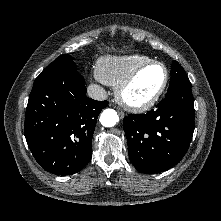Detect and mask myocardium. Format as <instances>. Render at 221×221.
Listing matches in <instances>:
<instances>
[{
    "label": "myocardium",
    "mask_w": 221,
    "mask_h": 221,
    "mask_svg": "<svg viewBox=\"0 0 221 221\" xmlns=\"http://www.w3.org/2000/svg\"><path fill=\"white\" fill-rule=\"evenodd\" d=\"M160 66L164 70V79L159 89L149 98L142 101L132 100L127 96L128 90L133 86L138 77L151 66ZM169 82V72L167 67L159 62L151 60L136 68L122 83L117 86L116 98L120 105L133 112H143L153 107L165 92Z\"/></svg>",
    "instance_id": "f54148a6"
}]
</instances>
